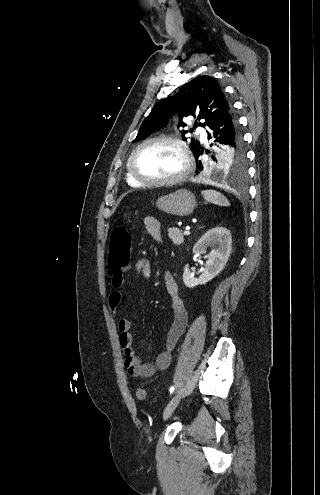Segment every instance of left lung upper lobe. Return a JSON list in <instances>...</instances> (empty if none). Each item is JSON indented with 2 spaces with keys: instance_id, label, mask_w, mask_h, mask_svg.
<instances>
[{
  "instance_id": "obj_1",
  "label": "left lung upper lobe",
  "mask_w": 320,
  "mask_h": 495,
  "mask_svg": "<svg viewBox=\"0 0 320 495\" xmlns=\"http://www.w3.org/2000/svg\"><path fill=\"white\" fill-rule=\"evenodd\" d=\"M231 109L230 102L226 99L225 94L219 83L210 76H198L190 82L184 84L179 92L168 97L154 106L151 113L145 118L139 132L133 142L145 139L151 133L164 127L167 124V118L174 112L179 115L178 126H186L182 122L183 117L193 116L197 119H204V123L194 124L193 129L197 126L211 127L215 120ZM190 129V132H193ZM183 140L188 130H182ZM191 147L194 153L197 151L204 152L197 140L191 139ZM216 151L206 150L211 162H206L208 172L217 178L226 175L242 174L246 171L245 151L243 146L242 135L237 127L236 135L233 142H227L223 145L215 144Z\"/></svg>"
}]
</instances>
